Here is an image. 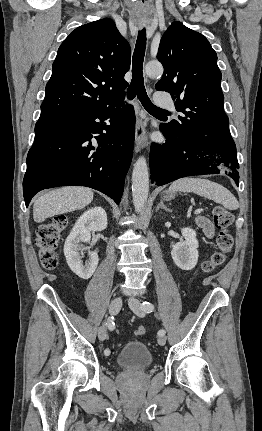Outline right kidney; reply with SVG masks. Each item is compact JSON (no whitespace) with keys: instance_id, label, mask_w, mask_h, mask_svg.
<instances>
[{"instance_id":"1","label":"right kidney","mask_w":262,"mask_h":431,"mask_svg":"<svg viewBox=\"0 0 262 431\" xmlns=\"http://www.w3.org/2000/svg\"><path fill=\"white\" fill-rule=\"evenodd\" d=\"M107 227V215L103 208L94 207L84 212L76 221L64 245V255L70 269L80 278L89 279L95 272L99 258L89 251V259L83 264L79 251L83 243L91 239V231H102Z\"/></svg>"}]
</instances>
